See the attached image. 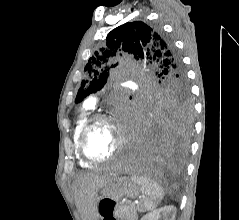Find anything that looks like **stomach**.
I'll list each match as a JSON object with an SVG mask.
<instances>
[{"label": "stomach", "instance_id": "stomach-1", "mask_svg": "<svg viewBox=\"0 0 239 220\" xmlns=\"http://www.w3.org/2000/svg\"><path fill=\"white\" fill-rule=\"evenodd\" d=\"M140 194V187L130 178H111L99 191L97 207L99 220H120L118 205H114L122 197L136 198Z\"/></svg>", "mask_w": 239, "mask_h": 220}]
</instances>
